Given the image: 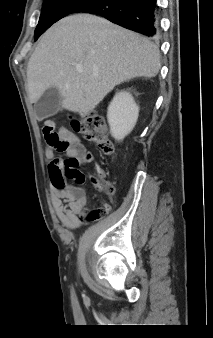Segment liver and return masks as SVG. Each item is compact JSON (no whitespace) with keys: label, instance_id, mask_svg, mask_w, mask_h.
<instances>
[{"label":"liver","instance_id":"6515ba94","mask_svg":"<svg viewBox=\"0 0 213 338\" xmlns=\"http://www.w3.org/2000/svg\"><path fill=\"white\" fill-rule=\"evenodd\" d=\"M160 68L159 48L148 38L94 15H71L51 26L31 55L28 95L36 103L56 87L64 109L86 116L116 85L155 77Z\"/></svg>","mask_w":213,"mask_h":338}]
</instances>
